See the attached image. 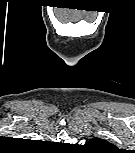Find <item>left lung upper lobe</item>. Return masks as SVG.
<instances>
[{"mask_svg":"<svg viewBox=\"0 0 135 153\" xmlns=\"http://www.w3.org/2000/svg\"><path fill=\"white\" fill-rule=\"evenodd\" d=\"M87 145L90 146L91 148H95L99 150L112 148V145L108 141L103 140L101 138H93L87 142Z\"/></svg>","mask_w":135,"mask_h":153,"instance_id":"5c2ea615","label":"left lung upper lobe"}]
</instances>
